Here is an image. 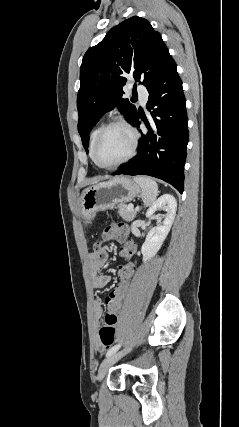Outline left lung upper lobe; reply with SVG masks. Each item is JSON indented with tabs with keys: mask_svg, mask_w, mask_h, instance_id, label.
<instances>
[{
	"mask_svg": "<svg viewBox=\"0 0 239 427\" xmlns=\"http://www.w3.org/2000/svg\"><path fill=\"white\" fill-rule=\"evenodd\" d=\"M173 61L160 33L138 16L124 20L87 50L77 96L78 131L86 151L89 132L104 113L117 107L129 123L137 116L133 98H122L127 76L147 87Z\"/></svg>",
	"mask_w": 239,
	"mask_h": 427,
	"instance_id": "obj_1",
	"label": "left lung upper lobe"
}]
</instances>
